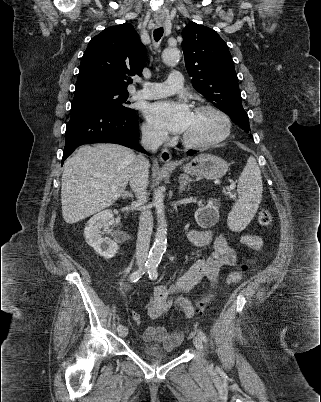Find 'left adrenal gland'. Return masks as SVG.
<instances>
[{"mask_svg":"<svg viewBox=\"0 0 321 402\" xmlns=\"http://www.w3.org/2000/svg\"><path fill=\"white\" fill-rule=\"evenodd\" d=\"M192 181H194V180L191 179L188 175L182 174V175L179 177V184H180V186H179V192L182 193L183 190H184V188H185V186H186L188 183L192 182Z\"/></svg>","mask_w":321,"mask_h":402,"instance_id":"left-adrenal-gland-1","label":"left adrenal gland"}]
</instances>
